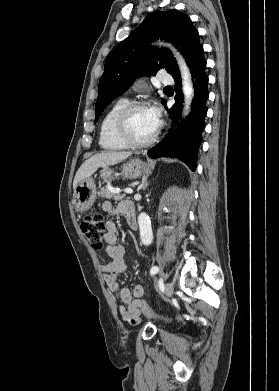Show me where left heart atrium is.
Masks as SVG:
<instances>
[{
    "mask_svg": "<svg viewBox=\"0 0 279 391\" xmlns=\"http://www.w3.org/2000/svg\"><path fill=\"white\" fill-rule=\"evenodd\" d=\"M149 110L154 120L158 123L160 119L159 110L157 108H150Z\"/></svg>",
    "mask_w": 279,
    "mask_h": 391,
    "instance_id": "1",
    "label": "left heart atrium"
}]
</instances>
